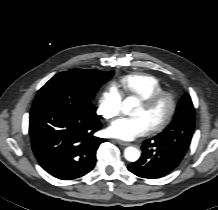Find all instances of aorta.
I'll list each match as a JSON object with an SVG mask.
<instances>
[{"label": "aorta", "mask_w": 218, "mask_h": 210, "mask_svg": "<svg viewBox=\"0 0 218 210\" xmlns=\"http://www.w3.org/2000/svg\"><path fill=\"white\" fill-rule=\"evenodd\" d=\"M139 105V100L136 97L129 96L123 102L121 111L125 115H130L132 110ZM124 157L127 161L135 162L140 157V151L132 146L127 147L124 150Z\"/></svg>", "instance_id": "aorta-1"}]
</instances>
